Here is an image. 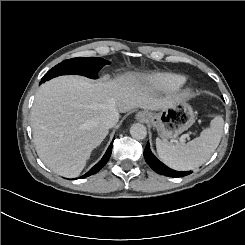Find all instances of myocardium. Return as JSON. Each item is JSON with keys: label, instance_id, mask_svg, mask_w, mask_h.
Listing matches in <instances>:
<instances>
[{"label": "myocardium", "instance_id": "obj_1", "mask_svg": "<svg viewBox=\"0 0 245 245\" xmlns=\"http://www.w3.org/2000/svg\"><path fill=\"white\" fill-rule=\"evenodd\" d=\"M181 95H182V96H187V95H188V91H187V90L182 91V92H181Z\"/></svg>", "mask_w": 245, "mask_h": 245}]
</instances>
